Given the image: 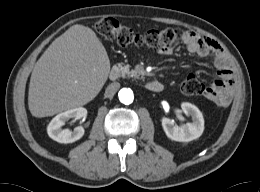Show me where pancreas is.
Returning a JSON list of instances; mask_svg holds the SVG:
<instances>
[{"label":"pancreas","mask_w":260,"mask_h":192,"mask_svg":"<svg viewBox=\"0 0 260 192\" xmlns=\"http://www.w3.org/2000/svg\"><path fill=\"white\" fill-rule=\"evenodd\" d=\"M118 67L120 68L123 77L126 75L130 77H136L139 75L137 71L130 70V65H124L120 63L118 64Z\"/></svg>","instance_id":"obj_1"}]
</instances>
